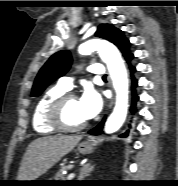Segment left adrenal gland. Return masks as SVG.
<instances>
[{
    "label": "left adrenal gland",
    "mask_w": 178,
    "mask_h": 186,
    "mask_svg": "<svg viewBox=\"0 0 178 186\" xmlns=\"http://www.w3.org/2000/svg\"><path fill=\"white\" fill-rule=\"evenodd\" d=\"M94 165H91L90 163H86L83 165V167L80 169L78 181H83L85 177H88L90 173L93 171Z\"/></svg>",
    "instance_id": "a2214340"
}]
</instances>
